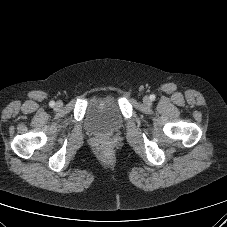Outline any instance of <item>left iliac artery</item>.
Returning <instances> with one entry per match:
<instances>
[{
  "label": "left iliac artery",
  "instance_id": "obj_1",
  "mask_svg": "<svg viewBox=\"0 0 227 227\" xmlns=\"http://www.w3.org/2000/svg\"><path fill=\"white\" fill-rule=\"evenodd\" d=\"M155 98H156V97H155V95H154V94L150 95V100H151V101H154V100H155Z\"/></svg>",
  "mask_w": 227,
  "mask_h": 227
}]
</instances>
